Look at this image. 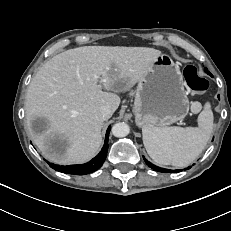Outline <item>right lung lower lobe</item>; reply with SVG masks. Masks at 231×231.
Returning a JSON list of instances; mask_svg holds the SVG:
<instances>
[{"instance_id": "right-lung-lower-lobe-1", "label": "right lung lower lobe", "mask_w": 231, "mask_h": 231, "mask_svg": "<svg viewBox=\"0 0 231 231\" xmlns=\"http://www.w3.org/2000/svg\"><path fill=\"white\" fill-rule=\"evenodd\" d=\"M110 127L107 129L105 143L100 151V153L93 158L91 161L81 165H69V166H59L52 163H48L51 168L55 169L56 171H60L66 174H75V175H85L88 173H92L99 169L102 164L104 163L107 151H108V137H109Z\"/></svg>"}]
</instances>
